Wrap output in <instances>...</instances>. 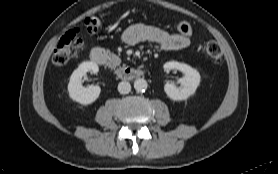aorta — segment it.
<instances>
[{
  "label": "aorta",
  "mask_w": 278,
  "mask_h": 174,
  "mask_svg": "<svg viewBox=\"0 0 278 174\" xmlns=\"http://www.w3.org/2000/svg\"><path fill=\"white\" fill-rule=\"evenodd\" d=\"M147 81L143 78H138L134 81V88L138 92H143L147 89Z\"/></svg>",
  "instance_id": "1"
}]
</instances>
